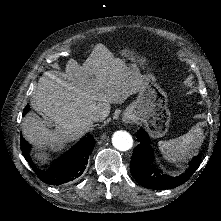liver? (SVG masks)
<instances>
[{
  "mask_svg": "<svg viewBox=\"0 0 221 221\" xmlns=\"http://www.w3.org/2000/svg\"><path fill=\"white\" fill-rule=\"evenodd\" d=\"M82 71L95 77L94 81L89 83L69 60L64 71L44 72L31 94L32 105L54 124L50 128L36 113L22 118V136L33 146L32 157L39 162H47L52 153L63 151L90 131V117L113 97L121 98L129 86L138 89L139 82L102 44L92 48Z\"/></svg>",
  "mask_w": 221,
  "mask_h": 221,
  "instance_id": "1",
  "label": "liver"
}]
</instances>
